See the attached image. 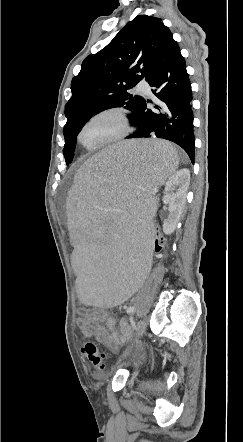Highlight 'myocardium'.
I'll use <instances>...</instances> for the list:
<instances>
[{
	"label": "myocardium",
	"mask_w": 243,
	"mask_h": 442,
	"mask_svg": "<svg viewBox=\"0 0 243 442\" xmlns=\"http://www.w3.org/2000/svg\"><path fill=\"white\" fill-rule=\"evenodd\" d=\"M106 115H113V116L117 117L121 122V130L113 137H111L101 143H98L96 145L89 146V145L84 144L82 141V138H81L84 128L93 120H95L99 117H102V116H106ZM131 129H132L131 120H130V117H129L127 111L124 110L123 108H120V107H111V108L103 109L99 112H96L95 114H93L89 118H87L82 123V125L80 126V128L78 130L77 141L85 149L97 150V149L106 147L108 145H111L113 143H116V142L124 139L131 132Z\"/></svg>",
	"instance_id": "myocardium-1"
}]
</instances>
